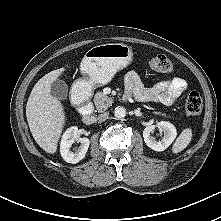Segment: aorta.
<instances>
[{"label":"aorta","mask_w":221,"mask_h":221,"mask_svg":"<svg viewBox=\"0 0 221 221\" xmlns=\"http://www.w3.org/2000/svg\"><path fill=\"white\" fill-rule=\"evenodd\" d=\"M114 115L116 118H124L126 116V109L122 106H118L114 110Z\"/></svg>","instance_id":"aorta-1"}]
</instances>
